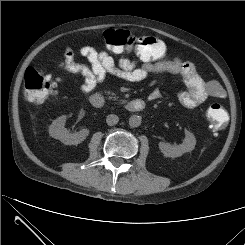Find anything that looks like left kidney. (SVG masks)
Instances as JSON below:
<instances>
[{"label": "left kidney", "mask_w": 245, "mask_h": 245, "mask_svg": "<svg viewBox=\"0 0 245 245\" xmlns=\"http://www.w3.org/2000/svg\"><path fill=\"white\" fill-rule=\"evenodd\" d=\"M196 138L193 133L185 130V141L182 144L173 146L169 143L160 142L159 148L166 157L176 158L182 156L195 148Z\"/></svg>", "instance_id": "5707ae66"}]
</instances>
